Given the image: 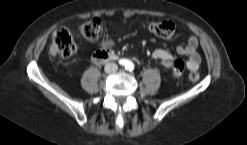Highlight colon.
Returning <instances> with one entry per match:
<instances>
[{
  "label": "colon",
  "mask_w": 247,
  "mask_h": 145,
  "mask_svg": "<svg viewBox=\"0 0 247 145\" xmlns=\"http://www.w3.org/2000/svg\"><path fill=\"white\" fill-rule=\"evenodd\" d=\"M104 22L101 18L94 17L84 22L80 26L81 34L89 40H97L103 33ZM148 30L163 38H170L175 32V25L172 21H152L148 23ZM76 43L70 29L66 26L59 27L52 36L50 45V54L55 58H68L76 51ZM175 76L182 75L185 64L182 60H175L172 64ZM189 80L196 82L199 80V74L192 72L189 74Z\"/></svg>",
  "instance_id": "colon-1"
}]
</instances>
